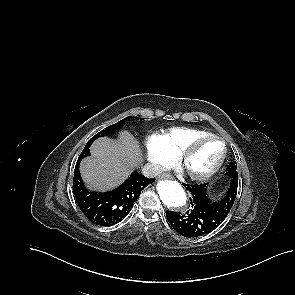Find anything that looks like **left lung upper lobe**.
<instances>
[{
	"instance_id": "5c2ea615",
	"label": "left lung upper lobe",
	"mask_w": 295,
	"mask_h": 295,
	"mask_svg": "<svg viewBox=\"0 0 295 295\" xmlns=\"http://www.w3.org/2000/svg\"><path fill=\"white\" fill-rule=\"evenodd\" d=\"M236 170H237L236 161L233 160L227 166L226 171H227V173H231V172L237 173Z\"/></svg>"
}]
</instances>
